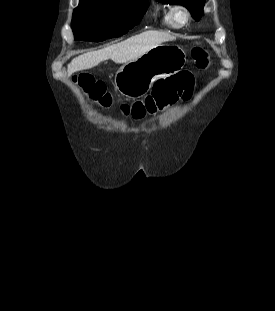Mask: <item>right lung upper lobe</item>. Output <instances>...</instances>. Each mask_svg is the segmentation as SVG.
Returning a JSON list of instances; mask_svg holds the SVG:
<instances>
[{
    "mask_svg": "<svg viewBox=\"0 0 275 311\" xmlns=\"http://www.w3.org/2000/svg\"><path fill=\"white\" fill-rule=\"evenodd\" d=\"M88 1H111V0H80V3H85Z\"/></svg>",
    "mask_w": 275,
    "mask_h": 311,
    "instance_id": "cb5924a9",
    "label": "right lung upper lobe"
}]
</instances>
